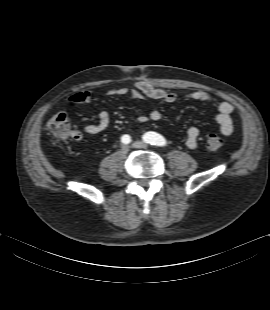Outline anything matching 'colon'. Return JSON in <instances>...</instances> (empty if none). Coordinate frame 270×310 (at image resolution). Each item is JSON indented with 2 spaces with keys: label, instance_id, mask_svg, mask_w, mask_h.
<instances>
[{
  "label": "colon",
  "instance_id": "colon-1",
  "mask_svg": "<svg viewBox=\"0 0 270 310\" xmlns=\"http://www.w3.org/2000/svg\"><path fill=\"white\" fill-rule=\"evenodd\" d=\"M47 128L52 136L59 141L76 140L77 132L72 130L69 124L68 115L65 112H58L48 121ZM224 145L221 136L212 134L207 137L206 146L210 150H218Z\"/></svg>",
  "mask_w": 270,
  "mask_h": 310
}]
</instances>
